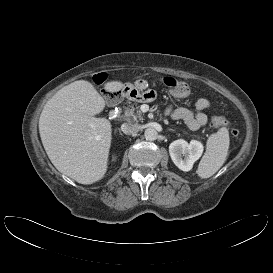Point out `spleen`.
<instances>
[{
    "label": "spleen",
    "mask_w": 273,
    "mask_h": 273,
    "mask_svg": "<svg viewBox=\"0 0 273 273\" xmlns=\"http://www.w3.org/2000/svg\"><path fill=\"white\" fill-rule=\"evenodd\" d=\"M230 144L229 131L226 127L220 128L211 134L207 140L206 152L198 165L197 174L205 179L214 175L226 161Z\"/></svg>",
    "instance_id": "spleen-1"
}]
</instances>
